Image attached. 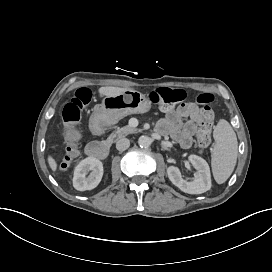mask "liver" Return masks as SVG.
I'll use <instances>...</instances> for the list:
<instances>
[{
	"label": "liver",
	"mask_w": 272,
	"mask_h": 272,
	"mask_svg": "<svg viewBox=\"0 0 272 272\" xmlns=\"http://www.w3.org/2000/svg\"><path fill=\"white\" fill-rule=\"evenodd\" d=\"M125 90L127 89L120 88V87L106 86V87H101L99 89V93L101 96H115V95L123 93ZM48 163L52 171H56L57 164H56V161L51 156L48 157Z\"/></svg>",
	"instance_id": "1"
}]
</instances>
